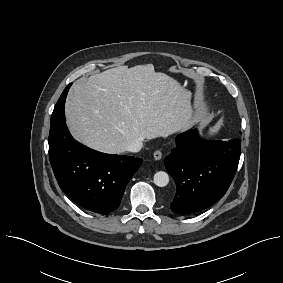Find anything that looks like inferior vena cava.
<instances>
[{
	"mask_svg": "<svg viewBox=\"0 0 283 283\" xmlns=\"http://www.w3.org/2000/svg\"><path fill=\"white\" fill-rule=\"evenodd\" d=\"M142 147H143V142L140 140H136L127 147V151L139 152L142 149Z\"/></svg>",
	"mask_w": 283,
	"mask_h": 283,
	"instance_id": "602c4592",
	"label": "inferior vena cava"
}]
</instances>
